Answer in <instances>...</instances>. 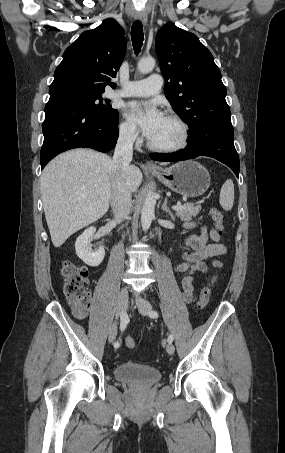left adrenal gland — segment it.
<instances>
[{
    "label": "left adrenal gland",
    "mask_w": 285,
    "mask_h": 453,
    "mask_svg": "<svg viewBox=\"0 0 285 453\" xmlns=\"http://www.w3.org/2000/svg\"><path fill=\"white\" fill-rule=\"evenodd\" d=\"M162 211H163V212H166V213L171 217L172 220L175 219L173 213L171 212V210L169 209V207H167V199H165V201H164V203H163V205H162Z\"/></svg>",
    "instance_id": "1"
}]
</instances>
